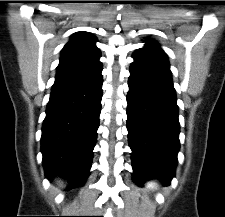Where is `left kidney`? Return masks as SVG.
<instances>
[{
  "mask_svg": "<svg viewBox=\"0 0 225 217\" xmlns=\"http://www.w3.org/2000/svg\"><path fill=\"white\" fill-rule=\"evenodd\" d=\"M147 187H148V188H154V185H153L152 183H148V184H147Z\"/></svg>",
  "mask_w": 225,
  "mask_h": 217,
  "instance_id": "1",
  "label": "left kidney"
}]
</instances>
